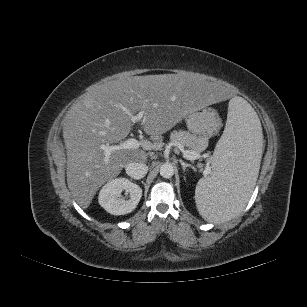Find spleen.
I'll use <instances>...</instances> for the list:
<instances>
[{"label":"spleen","mask_w":307,"mask_h":307,"mask_svg":"<svg viewBox=\"0 0 307 307\" xmlns=\"http://www.w3.org/2000/svg\"><path fill=\"white\" fill-rule=\"evenodd\" d=\"M260 121L245 100L229 103L227 122L211 163L210 176L195 189L200 215L212 223L234 218L246 206L255 187L266 144Z\"/></svg>","instance_id":"3e777b00"}]
</instances>
